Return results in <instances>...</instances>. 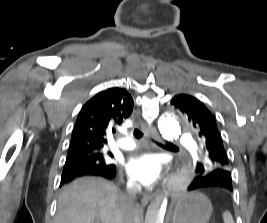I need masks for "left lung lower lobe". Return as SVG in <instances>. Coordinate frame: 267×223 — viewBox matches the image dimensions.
Returning <instances> with one entry per match:
<instances>
[{
    "instance_id": "1",
    "label": "left lung lower lobe",
    "mask_w": 267,
    "mask_h": 223,
    "mask_svg": "<svg viewBox=\"0 0 267 223\" xmlns=\"http://www.w3.org/2000/svg\"><path fill=\"white\" fill-rule=\"evenodd\" d=\"M190 182L192 183L188 190L191 192H209L213 195H230L235 187L232 173H191Z\"/></svg>"
}]
</instances>
